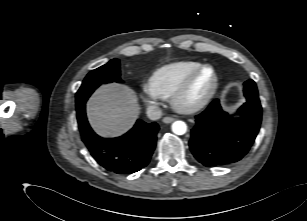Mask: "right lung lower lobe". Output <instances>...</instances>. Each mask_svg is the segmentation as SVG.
<instances>
[{
  "label": "right lung lower lobe",
  "instance_id": "obj_1",
  "mask_svg": "<svg viewBox=\"0 0 307 221\" xmlns=\"http://www.w3.org/2000/svg\"><path fill=\"white\" fill-rule=\"evenodd\" d=\"M81 138L99 165L116 174H131L149 163L157 141V123L137 120L134 127L121 137L101 138L91 129L85 104L77 109Z\"/></svg>",
  "mask_w": 307,
  "mask_h": 221
}]
</instances>
